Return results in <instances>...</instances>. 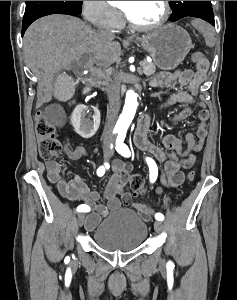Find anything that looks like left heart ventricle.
<instances>
[{"mask_svg":"<svg viewBox=\"0 0 237 300\" xmlns=\"http://www.w3.org/2000/svg\"><path fill=\"white\" fill-rule=\"evenodd\" d=\"M121 9L140 25L156 23L164 11L162 1H121Z\"/></svg>","mask_w":237,"mask_h":300,"instance_id":"obj_1","label":"left heart ventricle"}]
</instances>
